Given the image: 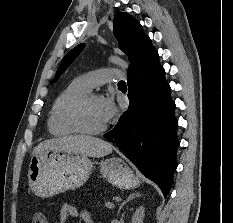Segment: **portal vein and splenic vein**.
Instances as JSON below:
<instances>
[{
  "label": "portal vein and splenic vein",
  "instance_id": "portal-vein-and-splenic-vein-1",
  "mask_svg": "<svg viewBox=\"0 0 233 223\" xmlns=\"http://www.w3.org/2000/svg\"><path fill=\"white\" fill-rule=\"evenodd\" d=\"M106 207H114V203H111V201H107Z\"/></svg>",
  "mask_w": 233,
  "mask_h": 223
}]
</instances>
